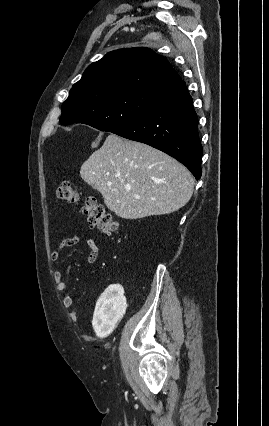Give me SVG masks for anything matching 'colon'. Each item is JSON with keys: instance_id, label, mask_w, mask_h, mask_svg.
<instances>
[{"instance_id": "colon-1", "label": "colon", "mask_w": 269, "mask_h": 426, "mask_svg": "<svg viewBox=\"0 0 269 426\" xmlns=\"http://www.w3.org/2000/svg\"><path fill=\"white\" fill-rule=\"evenodd\" d=\"M59 199L66 202L78 201V193L72 181L65 180L61 182L57 189ZM82 214L86 217L91 226L97 227L105 234H112L117 230V223L112 216L106 212L103 205L98 203L93 196L85 198L81 208Z\"/></svg>"}]
</instances>
